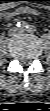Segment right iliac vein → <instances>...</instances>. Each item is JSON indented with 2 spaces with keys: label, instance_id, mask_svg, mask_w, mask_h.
Instances as JSON below:
<instances>
[{
  "label": "right iliac vein",
  "instance_id": "63e3f726",
  "mask_svg": "<svg viewBox=\"0 0 50 111\" xmlns=\"http://www.w3.org/2000/svg\"><path fill=\"white\" fill-rule=\"evenodd\" d=\"M16 33V29H11L10 34L13 35Z\"/></svg>",
  "mask_w": 50,
  "mask_h": 111
}]
</instances>
